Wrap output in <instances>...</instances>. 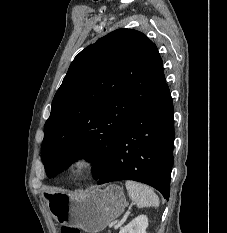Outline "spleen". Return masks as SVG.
<instances>
[{"label": "spleen", "mask_w": 227, "mask_h": 233, "mask_svg": "<svg viewBox=\"0 0 227 233\" xmlns=\"http://www.w3.org/2000/svg\"><path fill=\"white\" fill-rule=\"evenodd\" d=\"M125 186L129 197L138 208L159 206V198L149 186L130 180L126 181Z\"/></svg>", "instance_id": "3e777b00"}]
</instances>
